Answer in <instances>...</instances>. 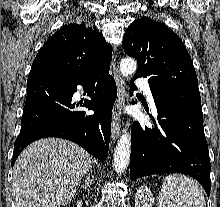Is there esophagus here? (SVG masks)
<instances>
[{"label": "esophagus", "instance_id": "1", "mask_svg": "<svg viewBox=\"0 0 220 207\" xmlns=\"http://www.w3.org/2000/svg\"><path fill=\"white\" fill-rule=\"evenodd\" d=\"M112 66L114 70V79L118 90L117 99L113 107L112 129H111V139L115 143V141L119 138L121 133L120 115H121V108L125 103L126 90H125L124 82L119 72L117 71L116 58H114L112 62Z\"/></svg>", "mask_w": 220, "mask_h": 207}]
</instances>
